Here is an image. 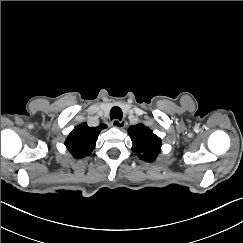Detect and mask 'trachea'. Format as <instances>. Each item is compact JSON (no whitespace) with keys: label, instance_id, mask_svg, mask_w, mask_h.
I'll use <instances>...</instances> for the list:
<instances>
[{"label":"trachea","instance_id":"1","mask_svg":"<svg viewBox=\"0 0 243 243\" xmlns=\"http://www.w3.org/2000/svg\"><path fill=\"white\" fill-rule=\"evenodd\" d=\"M122 117H123V113H122V110L115 106L111 109L110 111V118L111 119H118V120H122Z\"/></svg>","mask_w":243,"mask_h":243}]
</instances>
